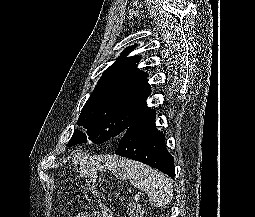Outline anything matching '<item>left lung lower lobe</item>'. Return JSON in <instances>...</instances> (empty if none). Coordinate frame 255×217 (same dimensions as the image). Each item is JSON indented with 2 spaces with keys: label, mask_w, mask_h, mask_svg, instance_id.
Instances as JSON below:
<instances>
[{
  "label": "left lung lower lobe",
  "mask_w": 255,
  "mask_h": 217,
  "mask_svg": "<svg viewBox=\"0 0 255 217\" xmlns=\"http://www.w3.org/2000/svg\"><path fill=\"white\" fill-rule=\"evenodd\" d=\"M156 112L148 109L123 134L116 155L140 161L174 179L173 157L168 153L165 136L156 129Z\"/></svg>",
  "instance_id": "0a47b994"
}]
</instances>
